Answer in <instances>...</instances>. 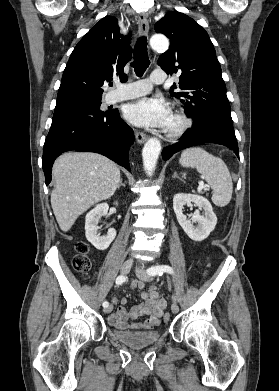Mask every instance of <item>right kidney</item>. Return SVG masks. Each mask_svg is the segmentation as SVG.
<instances>
[{
    "mask_svg": "<svg viewBox=\"0 0 279 391\" xmlns=\"http://www.w3.org/2000/svg\"><path fill=\"white\" fill-rule=\"evenodd\" d=\"M115 204L118 205L117 202ZM108 209L109 205L107 203H101L89 211L86 215V238L98 250L107 249L116 237V230L114 228H110L106 236H100V233H98L99 219L108 213Z\"/></svg>",
    "mask_w": 279,
    "mask_h": 391,
    "instance_id": "ca27d5eb",
    "label": "right kidney"
}]
</instances>
